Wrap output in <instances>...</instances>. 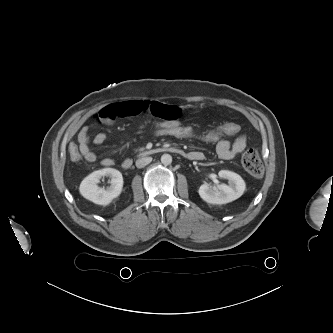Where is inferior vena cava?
<instances>
[{
  "label": "inferior vena cava",
  "mask_w": 333,
  "mask_h": 333,
  "mask_svg": "<svg viewBox=\"0 0 333 333\" xmlns=\"http://www.w3.org/2000/svg\"><path fill=\"white\" fill-rule=\"evenodd\" d=\"M151 161H152L151 157H144V158L138 159L136 161V167L137 168H143L146 165H148Z\"/></svg>",
  "instance_id": "602c4592"
}]
</instances>
